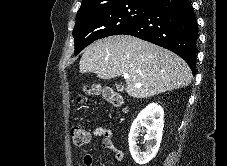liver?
Here are the masks:
<instances>
[{"label":"liver","instance_id":"6515ba94","mask_svg":"<svg viewBox=\"0 0 227 166\" xmlns=\"http://www.w3.org/2000/svg\"><path fill=\"white\" fill-rule=\"evenodd\" d=\"M79 69L81 73H95L101 79L128 75L126 91L137 99L186 87L193 77L181 57L130 35L95 41L84 50Z\"/></svg>","mask_w":227,"mask_h":166}]
</instances>
